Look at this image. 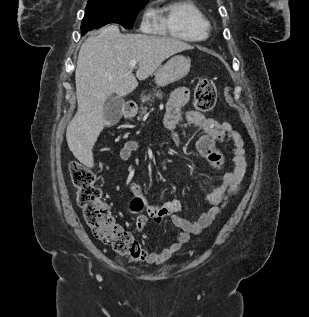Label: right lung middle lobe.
Returning <instances> with one entry per match:
<instances>
[{"label":"right lung middle lobe","instance_id":"right-lung-middle-lobe-1","mask_svg":"<svg viewBox=\"0 0 309 317\" xmlns=\"http://www.w3.org/2000/svg\"><path fill=\"white\" fill-rule=\"evenodd\" d=\"M149 0H88L81 24L82 33L110 23L133 27L139 11Z\"/></svg>","mask_w":309,"mask_h":317}]
</instances>
